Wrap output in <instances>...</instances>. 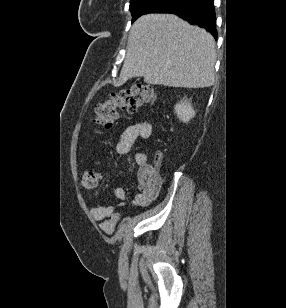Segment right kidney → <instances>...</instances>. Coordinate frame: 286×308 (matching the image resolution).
Wrapping results in <instances>:
<instances>
[{
    "instance_id": "obj_1",
    "label": "right kidney",
    "mask_w": 286,
    "mask_h": 308,
    "mask_svg": "<svg viewBox=\"0 0 286 308\" xmlns=\"http://www.w3.org/2000/svg\"><path fill=\"white\" fill-rule=\"evenodd\" d=\"M175 113L180 121L187 123L195 116V111L187 99L183 98L179 103L175 105Z\"/></svg>"
}]
</instances>
